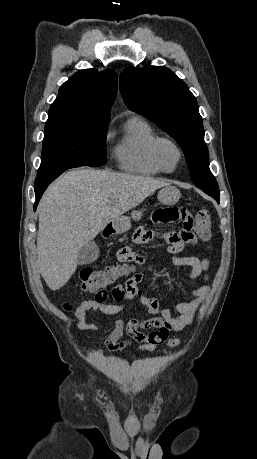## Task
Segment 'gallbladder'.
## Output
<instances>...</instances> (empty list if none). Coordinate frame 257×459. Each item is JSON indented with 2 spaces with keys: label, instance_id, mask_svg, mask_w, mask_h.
<instances>
[{
  "label": "gallbladder",
  "instance_id": "1",
  "mask_svg": "<svg viewBox=\"0 0 257 459\" xmlns=\"http://www.w3.org/2000/svg\"><path fill=\"white\" fill-rule=\"evenodd\" d=\"M99 256V247L95 241H90L85 244L77 255V261L79 265L90 264L95 261Z\"/></svg>",
  "mask_w": 257,
  "mask_h": 459
}]
</instances>
